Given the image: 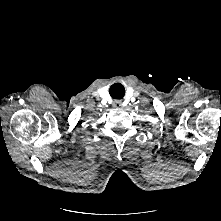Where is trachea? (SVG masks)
Instances as JSON below:
<instances>
[{
	"label": "trachea",
	"mask_w": 221,
	"mask_h": 221,
	"mask_svg": "<svg viewBox=\"0 0 221 221\" xmlns=\"http://www.w3.org/2000/svg\"><path fill=\"white\" fill-rule=\"evenodd\" d=\"M124 94H125V89L123 85L116 83L111 86L110 95L112 96V98L121 99L124 96Z\"/></svg>",
	"instance_id": "trachea-1"
}]
</instances>
